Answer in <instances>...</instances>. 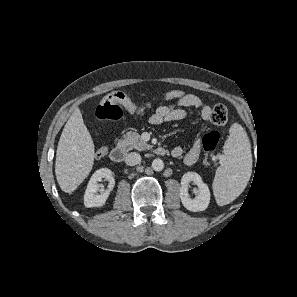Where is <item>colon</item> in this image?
Listing matches in <instances>:
<instances>
[{"instance_id": "obj_1", "label": "colon", "mask_w": 297, "mask_h": 297, "mask_svg": "<svg viewBox=\"0 0 297 297\" xmlns=\"http://www.w3.org/2000/svg\"><path fill=\"white\" fill-rule=\"evenodd\" d=\"M185 92L182 90H169L163 95L164 100L175 101L182 98ZM134 104L133 100L123 92L116 91L110 94L96 107V117L101 120L119 121L122 118L123 112L121 106L125 109L127 106ZM121 105V106H120ZM145 109L151 107L148 102L143 105ZM210 121L215 126H223L228 121V109L225 105H215L210 114ZM220 135L216 131L206 134L202 144L207 154L213 152L219 143ZM108 154V148L101 146L97 149L95 155L97 158H104Z\"/></svg>"}]
</instances>
